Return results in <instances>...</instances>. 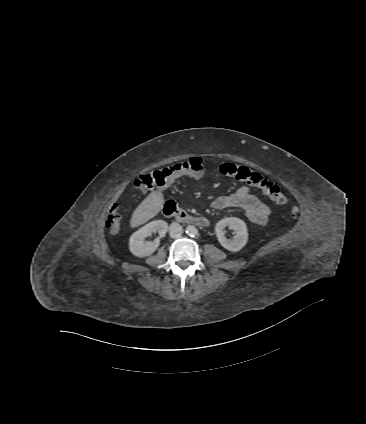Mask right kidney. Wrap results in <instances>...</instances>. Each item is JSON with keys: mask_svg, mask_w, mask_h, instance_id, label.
I'll return each instance as SVG.
<instances>
[{"mask_svg": "<svg viewBox=\"0 0 366 424\" xmlns=\"http://www.w3.org/2000/svg\"><path fill=\"white\" fill-rule=\"evenodd\" d=\"M168 230V224L163 220H154L136 232H134L129 239L130 252L137 257H147L159 246V238L154 241H145V238L151 235L152 232H158L159 237L165 236Z\"/></svg>", "mask_w": 366, "mask_h": 424, "instance_id": "ca27d5eb", "label": "right kidney"}]
</instances>
